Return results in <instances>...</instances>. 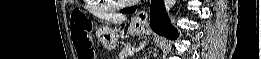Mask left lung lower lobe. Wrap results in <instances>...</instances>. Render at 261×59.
<instances>
[{
	"instance_id": "left-lung-lower-lobe-1",
	"label": "left lung lower lobe",
	"mask_w": 261,
	"mask_h": 59,
	"mask_svg": "<svg viewBox=\"0 0 261 59\" xmlns=\"http://www.w3.org/2000/svg\"><path fill=\"white\" fill-rule=\"evenodd\" d=\"M135 9L136 6L123 9L121 12L131 14L135 12ZM150 26L157 34L169 39L175 40L178 37V31L171 26L168 20L163 0H151Z\"/></svg>"
}]
</instances>
